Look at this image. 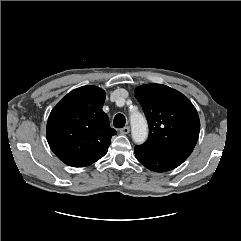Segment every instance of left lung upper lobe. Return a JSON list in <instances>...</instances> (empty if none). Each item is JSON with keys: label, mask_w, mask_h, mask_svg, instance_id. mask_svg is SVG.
I'll return each instance as SVG.
<instances>
[{"label": "left lung upper lobe", "mask_w": 241, "mask_h": 241, "mask_svg": "<svg viewBox=\"0 0 241 241\" xmlns=\"http://www.w3.org/2000/svg\"><path fill=\"white\" fill-rule=\"evenodd\" d=\"M149 125L143 144L158 150L193 151L200 131L198 113L179 91L162 84H146L135 90Z\"/></svg>", "instance_id": "obj_1"}]
</instances>
